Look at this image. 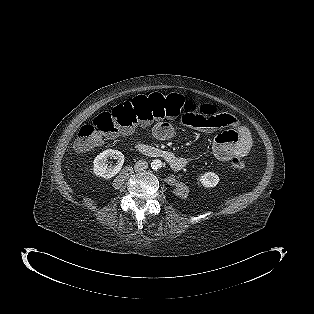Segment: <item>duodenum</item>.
I'll list each match as a JSON object with an SVG mask.
<instances>
[{"instance_id": "obj_1", "label": "duodenum", "mask_w": 314, "mask_h": 314, "mask_svg": "<svg viewBox=\"0 0 314 314\" xmlns=\"http://www.w3.org/2000/svg\"><path fill=\"white\" fill-rule=\"evenodd\" d=\"M135 149L147 156L162 158L173 168H182L184 166L182 160L171 151L156 148L142 142L136 143Z\"/></svg>"}]
</instances>
